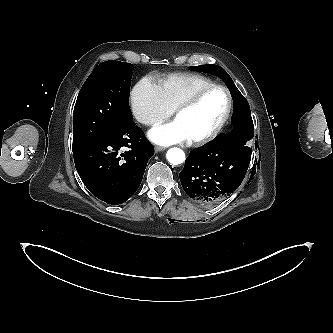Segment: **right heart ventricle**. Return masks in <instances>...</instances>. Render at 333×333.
I'll return each mask as SVG.
<instances>
[{"label":"right heart ventricle","instance_id":"right-heart-ventricle-1","mask_svg":"<svg viewBox=\"0 0 333 333\" xmlns=\"http://www.w3.org/2000/svg\"><path fill=\"white\" fill-rule=\"evenodd\" d=\"M214 81L204 75L194 73H174L160 80L161 94L174 111L176 107L199 89L213 84Z\"/></svg>","mask_w":333,"mask_h":333}]
</instances>
